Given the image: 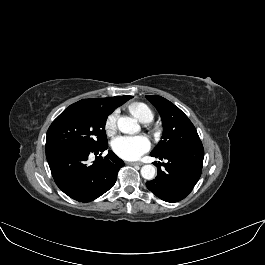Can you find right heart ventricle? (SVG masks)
Returning <instances> with one entry per match:
<instances>
[{
	"mask_svg": "<svg viewBox=\"0 0 265 265\" xmlns=\"http://www.w3.org/2000/svg\"><path fill=\"white\" fill-rule=\"evenodd\" d=\"M128 110L142 123H149L154 119V112L146 103L133 102L128 106Z\"/></svg>",
	"mask_w": 265,
	"mask_h": 265,
	"instance_id": "1",
	"label": "right heart ventricle"
}]
</instances>
